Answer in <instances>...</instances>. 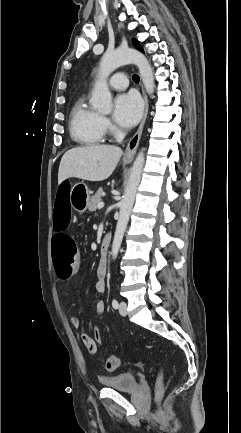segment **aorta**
Instances as JSON below:
<instances>
[{
	"label": "aorta",
	"mask_w": 241,
	"mask_h": 433,
	"mask_svg": "<svg viewBox=\"0 0 241 433\" xmlns=\"http://www.w3.org/2000/svg\"><path fill=\"white\" fill-rule=\"evenodd\" d=\"M136 64L139 69L144 87L149 95L154 92V75L151 65L147 58L140 52L130 48H120L106 52L100 61L99 78L96 81L91 98L93 107L101 112L109 113L112 108V95L107 85V77L118 67L125 64ZM145 155L142 149L132 166L130 177L125 188V193L120 202V213L112 243L111 255L117 258L124 233L127 228L129 217L134 205L137 189L140 184L141 175L144 167Z\"/></svg>",
	"instance_id": "aorta-1"
}]
</instances>
